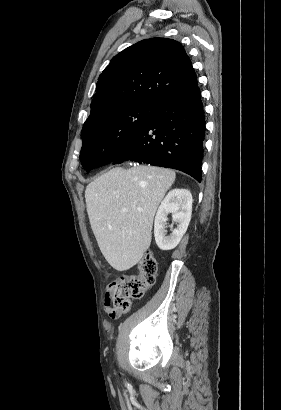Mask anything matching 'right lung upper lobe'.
<instances>
[{
    "instance_id": "1",
    "label": "right lung upper lobe",
    "mask_w": 281,
    "mask_h": 410,
    "mask_svg": "<svg viewBox=\"0 0 281 410\" xmlns=\"http://www.w3.org/2000/svg\"><path fill=\"white\" fill-rule=\"evenodd\" d=\"M197 86L190 58L179 42L142 40L116 55L100 74L88 119L109 108L157 107Z\"/></svg>"
}]
</instances>
